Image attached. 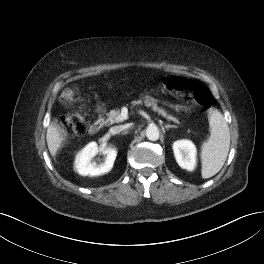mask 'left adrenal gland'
<instances>
[{
	"instance_id": "left-adrenal-gland-1",
	"label": "left adrenal gland",
	"mask_w": 264,
	"mask_h": 264,
	"mask_svg": "<svg viewBox=\"0 0 264 264\" xmlns=\"http://www.w3.org/2000/svg\"><path fill=\"white\" fill-rule=\"evenodd\" d=\"M166 130H169V128H177L175 125L167 124L165 125Z\"/></svg>"
}]
</instances>
